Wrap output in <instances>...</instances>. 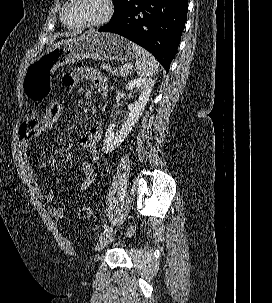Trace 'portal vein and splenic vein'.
I'll use <instances>...</instances> for the list:
<instances>
[{
	"instance_id": "obj_1",
	"label": "portal vein and splenic vein",
	"mask_w": 272,
	"mask_h": 303,
	"mask_svg": "<svg viewBox=\"0 0 272 303\" xmlns=\"http://www.w3.org/2000/svg\"><path fill=\"white\" fill-rule=\"evenodd\" d=\"M124 68H125V69H129V68H130V65H129V64H126V65H124Z\"/></svg>"
}]
</instances>
